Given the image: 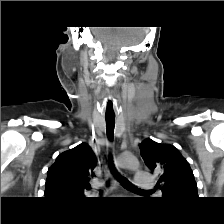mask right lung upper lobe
<instances>
[{"label":"right lung upper lobe","mask_w":224,"mask_h":224,"mask_svg":"<svg viewBox=\"0 0 224 224\" xmlns=\"http://www.w3.org/2000/svg\"><path fill=\"white\" fill-rule=\"evenodd\" d=\"M97 160L91 147L81 143L73 149L61 153L48 169L45 197L66 199L81 198L90 189V176Z\"/></svg>","instance_id":"obj_1"}]
</instances>
